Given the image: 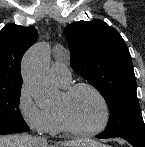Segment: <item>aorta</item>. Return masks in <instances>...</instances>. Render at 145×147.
<instances>
[{"label":"aorta","mask_w":145,"mask_h":147,"mask_svg":"<svg viewBox=\"0 0 145 147\" xmlns=\"http://www.w3.org/2000/svg\"><path fill=\"white\" fill-rule=\"evenodd\" d=\"M50 46L38 43L32 46L22 60V76L25 85L32 90L37 104L50 101L56 94L49 75Z\"/></svg>","instance_id":"obj_1"}]
</instances>
